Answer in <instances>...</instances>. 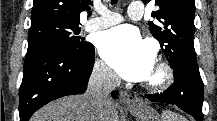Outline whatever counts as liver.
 Instances as JSON below:
<instances>
[{"label": "liver", "mask_w": 217, "mask_h": 121, "mask_svg": "<svg viewBox=\"0 0 217 121\" xmlns=\"http://www.w3.org/2000/svg\"><path fill=\"white\" fill-rule=\"evenodd\" d=\"M104 121H118L113 103ZM30 121H90V111L84 95H72L52 101L37 111Z\"/></svg>", "instance_id": "6515ba94"}]
</instances>
